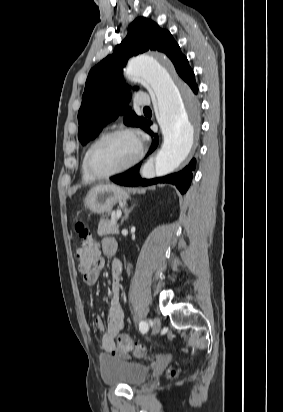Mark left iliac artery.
Here are the masks:
<instances>
[{"label":"left iliac artery","instance_id":"44dca946","mask_svg":"<svg viewBox=\"0 0 283 412\" xmlns=\"http://www.w3.org/2000/svg\"><path fill=\"white\" fill-rule=\"evenodd\" d=\"M139 330H140L142 333H146L147 330H148V324H147V322H145V321H140V323H139Z\"/></svg>","mask_w":283,"mask_h":412}]
</instances>
